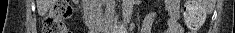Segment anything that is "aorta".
I'll return each mask as SVG.
<instances>
[{"label": "aorta", "mask_w": 235, "mask_h": 33, "mask_svg": "<svg viewBox=\"0 0 235 33\" xmlns=\"http://www.w3.org/2000/svg\"><path fill=\"white\" fill-rule=\"evenodd\" d=\"M134 0H122V16L124 21H129L133 12Z\"/></svg>", "instance_id": "obj_1"}]
</instances>
